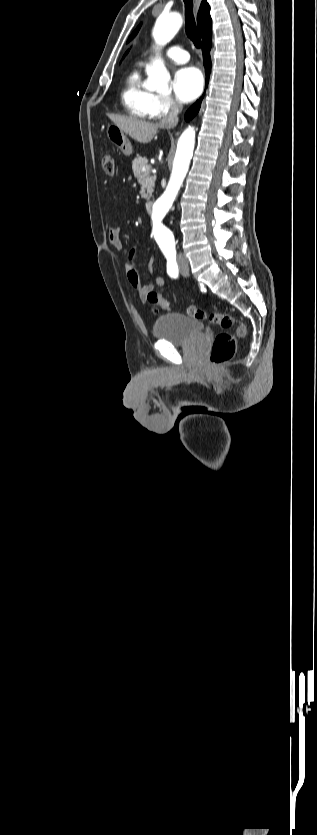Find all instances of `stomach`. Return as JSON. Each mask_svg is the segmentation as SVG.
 I'll list each match as a JSON object with an SVG mask.
<instances>
[{"label":"stomach","instance_id":"obj_1","mask_svg":"<svg viewBox=\"0 0 317 835\" xmlns=\"http://www.w3.org/2000/svg\"><path fill=\"white\" fill-rule=\"evenodd\" d=\"M106 133L109 141L119 148L125 156L132 154V145L120 127L116 124H109Z\"/></svg>","mask_w":317,"mask_h":835}]
</instances>
